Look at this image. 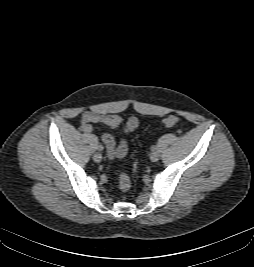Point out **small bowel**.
<instances>
[{"label": "small bowel", "mask_w": 254, "mask_h": 267, "mask_svg": "<svg viewBox=\"0 0 254 267\" xmlns=\"http://www.w3.org/2000/svg\"><path fill=\"white\" fill-rule=\"evenodd\" d=\"M93 124L106 125L113 129H118L123 135L134 132L139 126V120L136 117H130L125 122L117 114H99L95 112H85L81 117V130L89 133L93 131ZM102 141L106 146L110 158H123L128 152V143L125 137L120 139L116 145L114 137L109 133H103Z\"/></svg>", "instance_id": "small-bowel-1"}]
</instances>
